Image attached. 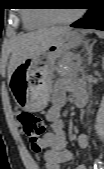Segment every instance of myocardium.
<instances>
[{
    "mask_svg": "<svg viewBox=\"0 0 104 169\" xmlns=\"http://www.w3.org/2000/svg\"><path fill=\"white\" fill-rule=\"evenodd\" d=\"M81 14L82 12L78 10L75 14L67 18L57 17L55 13H47L46 16L53 23L69 24L80 18Z\"/></svg>",
    "mask_w": 104,
    "mask_h": 169,
    "instance_id": "obj_1",
    "label": "myocardium"
}]
</instances>
